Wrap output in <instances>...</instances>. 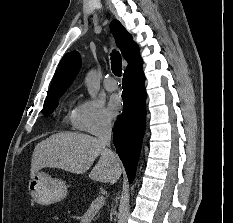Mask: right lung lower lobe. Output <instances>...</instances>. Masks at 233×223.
I'll return each mask as SVG.
<instances>
[{"instance_id":"right-lung-lower-lobe-1","label":"right lung lower lobe","mask_w":233,"mask_h":223,"mask_svg":"<svg viewBox=\"0 0 233 223\" xmlns=\"http://www.w3.org/2000/svg\"><path fill=\"white\" fill-rule=\"evenodd\" d=\"M144 81L142 66L124 73L123 113L116 120L113 129L114 145L124 164L130 183L135 177L145 129Z\"/></svg>"}]
</instances>
